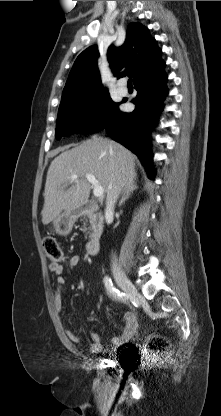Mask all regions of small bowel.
Listing matches in <instances>:
<instances>
[{"label": "small bowel", "mask_w": 221, "mask_h": 416, "mask_svg": "<svg viewBox=\"0 0 221 416\" xmlns=\"http://www.w3.org/2000/svg\"><path fill=\"white\" fill-rule=\"evenodd\" d=\"M80 256L72 255L68 257L64 263H50L48 265L49 271L55 275V293H54V302L55 307L58 311H61L64 308V289L65 279L62 274L65 269L76 268L80 264ZM123 322L125 323L124 330L122 333L113 338L112 349H118L126 344H128L131 339L134 337L137 330V319L136 316L130 312H127L123 315ZM67 336L72 342H78L79 336L76 332L67 331ZM91 342L88 345V350L91 353H100L103 351V346L101 343V336L98 332L92 331L90 333Z\"/></svg>", "instance_id": "1"}]
</instances>
